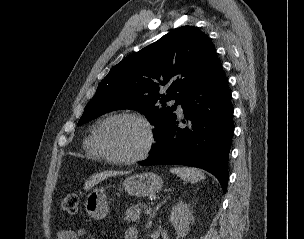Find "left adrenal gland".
<instances>
[{
  "label": "left adrenal gland",
  "instance_id": "a2214340",
  "mask_svg": "<svg viewBox=\"0 0 304 239\" xmlns=\"http://www.w3.org/2000/svg\"><path fill=\"white\" fill-rule=\"evenodd\" d=\"M165 202H166V199H164L161 203H159V204L157 205V207L153 210L152 214H150L149 219H148V222H147V224H146V227H147L148 229L151 228V226H152V219L154 218V216H155L157 210H158V209L161 207V205L164 204Z\"/></svg>",
  "mask_w": 304,
  "mask_h": 239
}]
</instances>
